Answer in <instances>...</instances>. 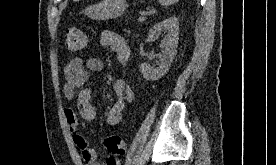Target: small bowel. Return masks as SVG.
Instances as JSON below:
<instances>
[{"label":"small bowel","mask_w":276,"mask_h":165,"mask_svg":"<svg viewBox=\"0 0 276 165\" xmlns=\"http://www.w3.org/2000/svg\"><path fill=\"white\" fill-rule=\"evenodd\" d=\"M100 44L114 51L118 62L126 65L130 57L128 42L121 35L113 31H103L100 35ZM104 69L103 62L98 58H89L84 61L74 58L64 66L65 85L64 95L72 100L77 95V109L81 118L91 122L96 117V111L92 104V90L87 87L89 73H101ZM116 101L106 114V123L110 126L117 125L122 117L124 107L134 100V92L124 80H117L113 86ZM65 118L69 130L73 135V141L79 148L84 165H101L97 161L96 151L89 146L86 139L78 133V116L76 112L68 108L65 110ZM104 165H119L116 157L109 156Z\"/></svg>","instance_id":"1"}]
</instances>
